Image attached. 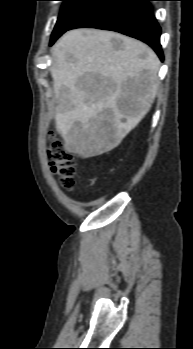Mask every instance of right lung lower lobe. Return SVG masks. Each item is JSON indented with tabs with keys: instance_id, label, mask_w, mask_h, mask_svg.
Masks as SVG:
<instances>
[{
	"instance_id": "obj_1",
	"label": "right lung lower lobe",
	"mask_w": 193,
	"mask_h": 349,
	"mask_svg": "<svg viewBox=\"0 0 193 349\" xmlns=\"http://www.w3.org/2000/svg\"><path fill=\"white\" fill-rule=\"evenodd\" d=\"M149 1L152 0H102L67 30L92 27L117 31L147 43L163 61L161 29ZM61 35L55 37L51 44Z\"/></svg>"
}]
</instances>
